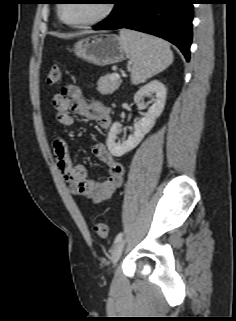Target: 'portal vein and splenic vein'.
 Segmentation results:
<instances>
[{
    "label": "portal vein and splenic vein",
    "instance_id": "obj_1",
    "mask_svg": "<svg viewBox=\"0 0 236 321\" xmlns=\"http://www.w3.org/2000/svg\"><path fill=\"white\" fill-rule=\"evenodd\" d=\"M111 79H120V75L117 74V73H114V74L111 76Z\"/></svg>",
    "mask_w": 236,
    "mask_h": 321
}]
</instances>
